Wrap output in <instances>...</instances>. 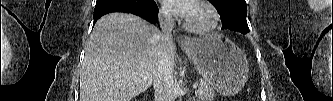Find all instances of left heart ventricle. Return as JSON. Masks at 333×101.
I'll return each mask as SVG.
<instances>
[{
    "instance_id": "1",
    "label": "left heart ventricle",
    "mask_w": 333,
    "mask_h": 101,
    "mask_svg": "<svg viewBox=\"0 0 333 101\" xmlns=\"http://www.w3.org/2000/svg\"><path fill=\"white\" fill-rule=\"evenodd\" d=\"M186 19L195 26H206L210 23L211 17L208 11L199 5L193 4Z\"/></svg>"
}]
</instances>
